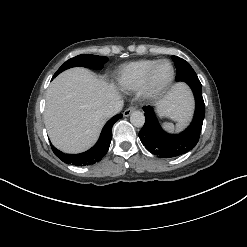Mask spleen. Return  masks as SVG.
I'll return each instance as SVG.
<instances>
[{
    "instance_id": "3e777b00",
    "label": "spleen",
    "mask_w": 247,
    "mask_h": 247,
    "mask_svg": "<svg viewBox=\"0 0 247 247\" xmlns=\"http://www.w3.org/2000/svg\"><path fill=\"white\" fill-rule=\"evenodd\" d=\"M187 125L186 122H179L175 126L172 123H164L163 127L169 132H180Z\"/></svg>"
}]
</instances>
